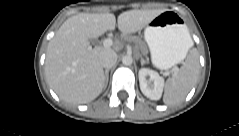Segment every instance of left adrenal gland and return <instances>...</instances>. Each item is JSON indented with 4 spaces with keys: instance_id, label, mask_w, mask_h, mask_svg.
I'll use <instances>...</instances> for the list:
<instances>
[{
    "instance_id": "left-adrenal-gland-1",
    "label": "left adrenal gland",
    "mask_w": 239,
    "mask_h": 136,
    "mask_svg": "<svg viewBox=\"0 0 239 136\" xmlns=\"http://www.w3.org/2000/svg\"><path fill=\"white\" fill-rule=\"evenodd\" d=\"M145 63V61L143 59H141V65H143Z\"/></svg>"
}]
</instances>
